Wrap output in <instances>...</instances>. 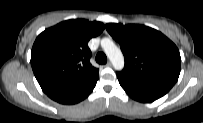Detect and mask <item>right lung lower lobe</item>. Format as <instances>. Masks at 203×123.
Instances as JSON below:
<instances>
[{"label":"right lung lower lobe","mask_w":203,"mask_h":123,"mask_svg":"<svg viewBox=\"0 0 203 123\" xmlns=\"http://www.w3.org/2000/svg\"><path fill=\"white\" fill-rule=\"evenodd\" d=\"M98 78L91 83L80 85L63 87L46 92V94L61 104H75L85 99L94 89Z\"/></svg>","instance_id":"98d812e1"}]
</instances>
